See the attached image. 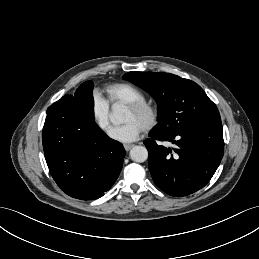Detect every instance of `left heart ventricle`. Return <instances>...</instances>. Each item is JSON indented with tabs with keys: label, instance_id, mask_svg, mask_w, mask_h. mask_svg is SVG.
<instances>
[{
	"label": "left heart ventricle",
	"instance_id": "b2bd125f",
	"mask_svg": "<svg viewBox=\"0 0 259 259\" xmlns=\"http://www.w3.org/2000/svg\"><path fill=\"white\" fill-rule=\"evenodd\" d=\"M122 120L135 122L142 128L148 121V115L147 114H136V113L124 110L122 112Z\"/></svg>",
	"mask_w": 259,
	"mask_h": 259
}]
</instances>
